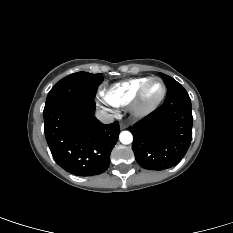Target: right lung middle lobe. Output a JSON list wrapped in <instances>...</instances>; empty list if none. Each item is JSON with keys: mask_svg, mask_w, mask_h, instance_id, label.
Masks as SVG:
<instances>
[{"mask_svg": "<svg viewBox=\"0 0 233 233\" xmlns=\"http://www.w3.org/2000/svg\"><path fill=\"white\" fill-rule=\"evenodd\" d=\"M102 74L77 72L61 79L49 92L45 108L58 102L76 97L94 98L98 86L102 83Z\"/></svg>", "mask_w": 233, "mask_h": 233, "instance_id": "obj_1", "label": "right lung middle lobe"}]
</instances>
